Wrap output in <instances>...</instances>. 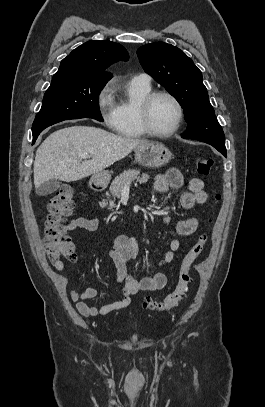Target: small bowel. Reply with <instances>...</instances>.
Instances as JSON below:
<instances>
[{
  "label": "small bowel",
  "instance_id": "obj_1",
  "mask_svg": "<svg viewBox=\"0 0 265 407\" xmlns=\"http://www.w3.org/2000/svg\"><path fill=\"white\" fill-rule=\"evenodd\" d=\"M183 184V176L176 168H171L166 173L157 175L154 180V188L159 193H166L170 189H179ZM207 199L208 195L204 190V181L201 178L195 177L188 182V191L182 194L180 204L183 209L189 210L196 205L205 204ZM198 225L199 220L196 216L180 219L175 222L176 233L181 237L190 236L197 231ZM98 228L99 220L97 218L86 217L74 218L64 226L66 232L77 229L95 231ZM180 246L181 243L178 239L171 240L169 249L159 261V265L164 266L172 262L175 252ZM109 254L116 266L117 281L122 288L123 297L107 304L91 305L88 301L96 299L99 294L96 288L86 287L82 292L72 289L70 290V297L75 303L77 311L83 317L104 316L114 311L122 310L129 306L133 295L145 291L160 290L167 284V275L163 272H158L153 276L140 280L135 279L129 273L128 262L137 254V243L134 237L128 235L117 236ZM54 268L62 271L64 263L55 264Z\"/></svg>",
  "mask_w": 265,
  "mask_h": 407
}]
</instances>
